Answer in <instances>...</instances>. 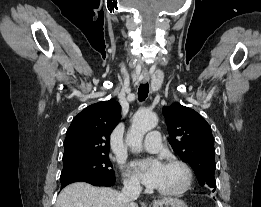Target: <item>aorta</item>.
Masks as SVG:
<instances>
[{
    "label": "aorta",
    "mask_w": 261,
    "mask_h": 207,
    "mask_svg": "<svg viewBox=\"0 0 261 207\" xmlns=\"http://www.w3.org/2000/svg\"><path fill=\"white\" fill-rule=\"evenodd\" d=\"M158 124L157 115L153 112L138 111L132 119L130 131L126 142L133 148H139L142 145L144 135L155 128Z\"/></svg>",
    "instance_id": "aorta-1"
}]
</instances>
